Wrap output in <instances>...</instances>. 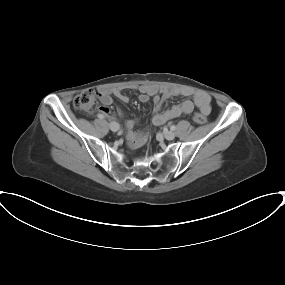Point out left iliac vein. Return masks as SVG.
Here are the masks:
<instances>
[{
	"label": "left iliac vein",
	"mask_w": 285,
	"mask_h": 285,
	"mask_svg": "<svg viewBox=\"0 0 285 285\" xmlns=\"http://www.w3.org/2000/svg\"><path fill=\"white\" fill-rule=\"evenodd\" d=\"M163 135L167 140H173L175 138V133L172 131H164Z\"/></svg>",
	"instance_id": "4c4485c4"
}]
</instances>
